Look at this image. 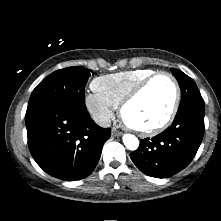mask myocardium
Segmentation results:
<instances>
[{
	"instance_id": "obj_1",
	"label": "myocardium",
	"mask_w": 221,
	"mask_h": 221,
	"mask_svg": "<svg viewBox=\"0 0 221 221\" xmlns=\"http://www.w3.org/2000/svg\"><path fill=\"white\" fill-rule=\"evenodd\" d=\"M160 76L167 77L171 81L173 88H174V100H173V103H172L169 113L167 114V116L164 118V120L162 122H160L159 124H157L153 127H150V128L140 129V128H136V127L130 125L125 120V117H124V113H125L126 108L140 96V94L147 88V86L152 81H154L156 78H158ZM180 100H181V90H180L179 83H178L177 79L174 77V75H172L170 72H167V71H156L153 74L146 77L145 79H143L140 83H138L124 97V99L121 101L120 106H119L120 117H121L124 125L127 128L131 129L132 131L136 132L138 135H140L142 137L154 136V135H157V134L161 133L162 131H164L173 122V120L177 114V111L179 109Z\"/></svg>"
}]
</instances>
